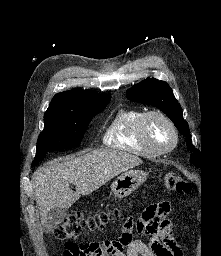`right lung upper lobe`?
Instances as JSON below:
<instances>
[{
	"label": "right lung upper lobe",
	"mask_w": 221,
	"mask_h": 256,
	"mask_svg": "<svg viewBox=\"0 0 221 256\" xmlns=\"http://www.w3.org/2000/svg\"><path fill=\"white\" fill-rule=\"evenodd\" d=\"M111 97L108 94H98L90 90L73 89L56 94L46 113H63L76 111L79 105L91 102L97 98Z\"/></svg>",
	"instance_id": "right-lung-upper-lobe-1"
}]
</instances>
